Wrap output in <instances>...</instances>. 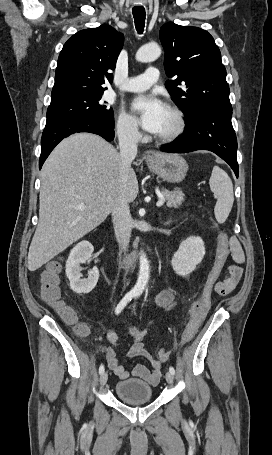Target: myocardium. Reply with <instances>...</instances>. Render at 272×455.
Instances as JSON below:
<instances>
[{"label": "myocardium", "instance_id": "1", "mask_svg": "<svg viewBox=\"0 0 272 455\" xmlns=\"http://www.w3.org/2000/svg\"><path fill=\"white\" fill-rule=\"evenodd\" d=\"M167 110L172 114L174 124L169 132L162 135H157L156 139L161 143H169L175 141L183 134L186 127L185 116L181 109H179L177 106L169 105L167 106Z\"/></svg>", "mask_w": 272, "mask_h": 455}]
</instances>
